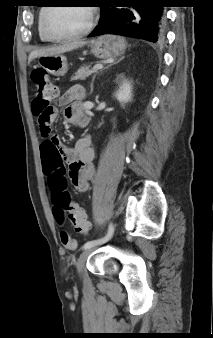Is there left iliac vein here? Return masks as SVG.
Instances as JSON below:
<instances>
[{"instance_id":"1","label":"left iliac vein","mask_w":213,"mask_h":338,"mask_svg":"<svg viewBox=\"0 0 213 338\" xmlns=\"http://www.w3.org/2000/svg\"><path fill=\"white\" fill-rule=\"evenodd\" d=\"M93 247L89 248V249H86L84 250L79 258H78V261H77V264H76V267H77V271L78 273L81 275L83 273V270H84V267H85V263H86V260L88 258V256L90 255V253L93 251Z\"/></svg>"}]
</instances>
